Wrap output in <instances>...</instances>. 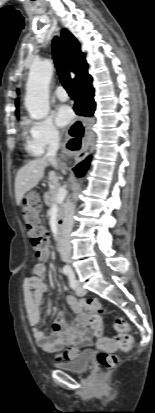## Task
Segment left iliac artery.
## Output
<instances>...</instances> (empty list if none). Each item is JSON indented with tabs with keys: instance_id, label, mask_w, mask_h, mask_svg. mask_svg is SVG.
I'll return each instance as SVG.
<instances>
[{
	"instance_id": "44dca946",
	"label": "left iliac artery",
	"mask_w": 155,
	"mask_h": 413,
	"mask_svg": "<svg viewBox=\"0 0 155 413\" xmlns=\"http://www.w3.org/2000/svg\"><path fill=\"white\" fill-rule=\"evenodd\" d=\"M67 275H68L70 287H71L72 289H75L76 286H77V282H76L74 273H73L72 271H69Z\"/></svg>"
}]
</instances>
